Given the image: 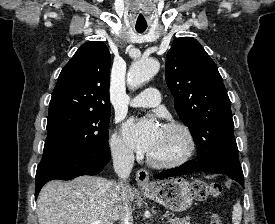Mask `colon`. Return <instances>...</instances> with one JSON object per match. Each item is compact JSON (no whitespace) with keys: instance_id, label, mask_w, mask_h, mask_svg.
Masks as SVG:
<instances>
[{"instance_id":"5ec220e1","label":"colon","mask_w":275,"mask_h":224,"mask_svg":"<svg viewBox=\"0 0 275 224\" xmlns=\"http://www.w3.org/2000/svg\"><path fill=\"white\" fill-rule=\"evenodd\" d=\"M193 191L195 198L198 201L206 200L210 197H217L221 194V187L213 182L204 180H196L193 183ZM211 224H222L219 215H214L211 220Z\"/></svg>"}]
</instances>
